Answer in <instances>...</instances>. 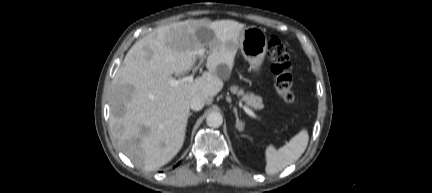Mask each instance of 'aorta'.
Segmentation results:
<instances>
[{
	"mask_svg": "<svg viewBox=\"0 0 432 193\" xmlns=\"http://www.w3.org/2000/svg\"><path fill=\"white\" fill-rule=\"evenodd\" d=\"M206 123L209 127L218 128L223 123V117L218 112H211L206 118Z\"/></svg>",
	"mask_w": 432,
	"mask_h": 193,
	"instance_id": "1",
	"label": "aorta"
}]
</instances>
